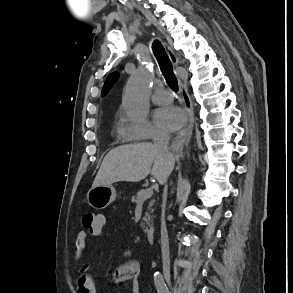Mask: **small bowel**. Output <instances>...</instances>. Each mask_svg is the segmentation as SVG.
I'll return each instance as SVG.
<instances>
[{
    "label": "small bowel",
    "instance_id": "small-bowel-1",
    "mask_svg": "<svg viewBox=\"0 0 293 293\" xmlns=\"http://www.w3.org/2000/svg\"><path fill=\"white\" fill-rule=\"evenodd\" d=\"M103 220L102 229L98 233L92 234L99 238L104 235V226L106 220L102 215H99ZM87 234L85 231L77 232L74 240L75 256L80 260L86 251ZM87 264L82 266V274L77 279L78 293H95L96 287L90 275L86 273ZM140 265L137 261H127L117 267L114 273V281L119 284H128L131 293H141L139 284Z\"/></svg>",
    "mask_w": 293,
    "mask_h": 293
}]
</instances>
